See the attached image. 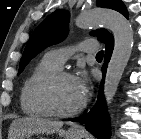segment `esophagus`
Returning <instances> with one entry per match:
<instances>
[{
    "label": "esophagus",
    "instance_id": "34e87169",
    "mask_svg": "<svg viewBox=\"0 0 141 139\" xmlns=\"http://www.w3.org/2000/svg\"><path fill=\"white\" fill-rule=\"evenodd\" d=\"M75 129H77V130H81V128H80V127H75Z\"/></svg>",
    "mask_w": 141,
    "mask_h": 139
}]
</instances>
